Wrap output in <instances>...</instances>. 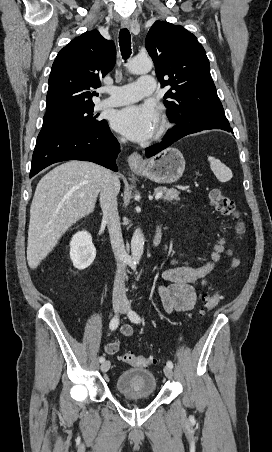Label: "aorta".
I'll list each match as a JSON object with an SVG mask.
<instances>
[{"instance_id": "obj_1", "label": "aorta", "mask_w": 272, "mask_h": 452, "mask_svg": "<svg viewBox=\"0 0 272 452\" xmlns=\"http://www.w3.org/2000/svg\"><path fill=\"white\" fill-rule=\"evenodd\" d=\"M153 62L149 58H134L129 64V70L134 74H144L151 71ZM144 235L140 228H137L131 240V254L134 263H138L142 257L144 249Z\"/></svg>"}]
</instances>
